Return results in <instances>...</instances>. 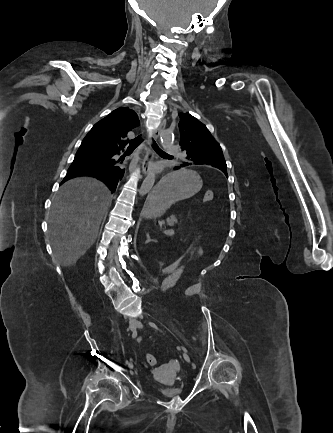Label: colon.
I'll return each mask as SVG.
<instances>
[{
	"mask_svg": "<svg viewBox=\"0 0 333 433\" xmlns=\"http://www.w3.org/2000/svg\"><path fill=\"white\" fill-rule=\"evenodd\" d=\"M214 199V193L211 191H208L203 198L204 202H208ZM189 252H182L181 255H179L176 259H174L171 263L166 264L165 266V271H163V276H161V279H164V276H172V272H174L177 267H183L184 263L188 262V259H192L193 258V253H194V248H189L188 250ZM85 321H89L88 317H85ZM146 363L149 366H155L157 364V359L155 358L154 355L152 354H147L146 355Z\"/></svg>",
	"mask_w": 333,
	"mask_h": 433,
	"instance_id": "obj_1",
	"label": "colon"
}]
</instances>
